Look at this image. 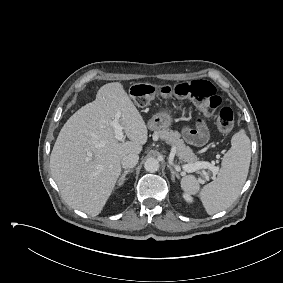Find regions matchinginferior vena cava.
<instances>
[{"instance_id": "inferior-vena-cava-1", "label": "inferior vena cava", "mask_w": 283, "mask_h": 283, "mask_svg": "<svg viewBox=\"0 0 283 283\" xmlns=\"http://www.w3.org/2000/svg\"><path fill=\"white\" fill-rule=\"evenodd\" d=\"M138 160H139V155L136 153H131L122 158L121 164L123 168L129 169L135 167Z\"/></svg>"}]
</instances>
